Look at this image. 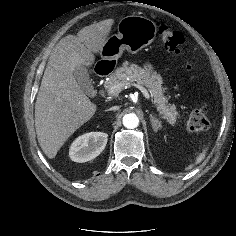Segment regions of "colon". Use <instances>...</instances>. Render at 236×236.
I'll return each mask as SVG.
<instances>
[{
    "mask_svg": "<svg viewBox=\"0 0 236 236\" xmlns=\"http://www.w3.org/2000/svg\"><path fill=\"white\" fill-rule=\"evenodd\" d=\"M159 31L166 49L172 53H179L184 44L183 36L165 25H160ZM187 127L192 132H200L208 129L209 120L204 106L198 107L191 112L187 121Z\"/></svg>",
    "mask_w": 236,
    "mask_h": 236,
    "instance_id": "obj_1",
    "label": "colon"
}]
</instances>
